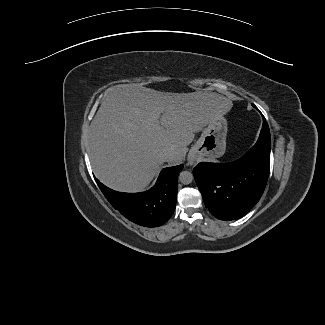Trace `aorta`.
<instances>
[{
	"mask_svg": "<svg viewBox=\"0 0 325 325\" xmlns=\"http://www.w3.org/2000/svg\"><path fill=\"white\" fill-rule=\"evenodd\" d=\"M193 174L189 171H182L179 174V180L182 184L188 185L193 181Z\"/></svg>",
	"mask_w": 325,
	"mask_h": 325,
	"instance_id": "1",
	"label": "aorta"
}]
</instances>
